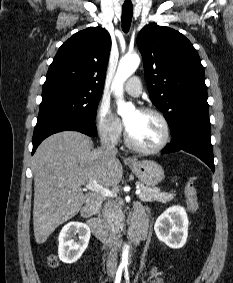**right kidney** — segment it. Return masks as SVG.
Wrapping results in <instances>:
<instances>
[{
	"label": "right kidney",
	"instance_id": "obj_1",
	"mask_svg": "<svg viewBox=\"0 0 233 283\" xmlns=\"http://www.w3.org/2000/svg\"><path fill=\"white\" fill-rule=\"evenodd\" d=\"M89 239L90 229L86 224L80 222L66 224L58 237L59 259L67 264L75 263L86 250Z\"/></svg>",
	"mask_w": 233,
	"mask_h": 283
}]
</instances>
